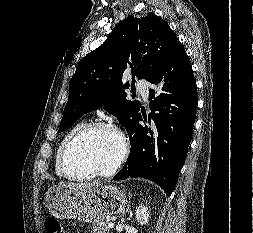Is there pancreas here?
Wrapping results in <instances>:
<instances>
[{"mask_svg":"<svg viewBox=\"0 0 253 233\" xmlns=\"http://www.w3.org/2000/svg\"><path fill=\"white\" fill-rule=\"evenodd\" d=\"M92 233H109L110 229L107 224H101L99 226L93 224L91 227Z\"/></svg>","mask_w":253,"mask_h":233,"instance_id":"1","label":"pancreas"}]
</instances>
